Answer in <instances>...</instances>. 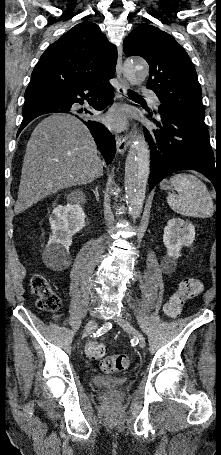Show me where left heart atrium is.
<instances>
[{
  "instance_id": "1",
  "label": "left heart atrium",
  "mask_w": 221,
  "mask_h": 455,
  "mask_svg": "<svg viewBox=\"0 0 221 455\" xmlns=\"http://www.w3.org/2000/svg\"><path fill=\"white\" fill-rule=\"evenodd\" d=\"M105 122L113 129H122L126 123L125 111L122 108L112 109L105 116Z\"/></svg>"
}]
</instances>
